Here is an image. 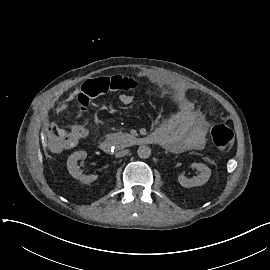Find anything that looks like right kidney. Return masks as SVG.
Returning a JSON list of instances; mask_svg holds the SVG:
<instances>
[{
    "label": "right kidney",
    "instance_id": "1",
    "mask_svg": "<svg viewBox=\"0 0 270 270\" xmlns=\"http://www.w3.org/2000/svg\"><path fill=\"white\" fill-rule=\"evenodd\" d=\"M87 152L86 151H76L68 157L67 160V168L69 173L75 179L80 180L81 182L88 184L95 181L98 176L97 175H84L80 172L79 166L77 165V161L80 158H86Z\"/></svg>",
    "mask_w": 270,
    "mask_h": 270
}]
</instances>
